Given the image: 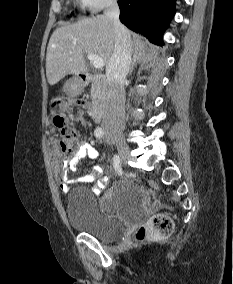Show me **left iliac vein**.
Here are the masks:
<instances>
[{
	"label": "left iliac vein",
	"mask_w": 233,
	"mask_h": 284,
	"mask_svg": "<svg viewBox=\"0 0 233 284\" xmlns=\"http://www.w3.org/2000/svg\"><path fill=\"white\" fill-rule=\"evenodd\" d=\"M107 140H108L109 142H112V140H111V138H110V137H108V138H107Z\"/></svg>",
	"instance_id": "obj_1"
}]
</instances>
